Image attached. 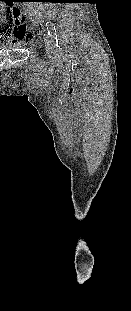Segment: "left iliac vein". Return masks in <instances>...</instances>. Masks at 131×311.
Wrapping results in <instances>:
<instances>
[{"instance_id":"4c4485c4","label":"left iliac vein","mask_w":131,"mask_h":311,"mask_svg":"<svg viewBox=\"0 0 131 311\" xmlns=\"http://www.w3.org/2000/svg\"><path fill=\"white\" fill-rule=\"evenodd\" d=\"M44 43H45V48H46L47 53L52 54L53 53V45L50 42V39H49V36L47 33L44 35Z\"/></svg>"}]
</instances>
